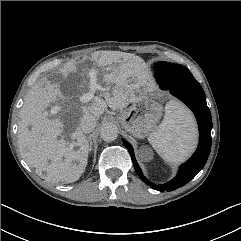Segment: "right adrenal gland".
Instances as JSON below:
<instances>
[{
    "instance_id": "right-adrenal-gland-1",
    "label": "right adrenal gland",
    "mask_w": 241,
    "mask_h": 241,
    "mask_svg": "<svg viewBox=\"0 0 241 241\" xmlns=\"http://www.w3.org/2000/svg\"><path fill=\"white\" fill-rule=\"evenodd\" d=\"M88 143H89V152L92 150V145H93V143H92V139H91V137L89 136L88 137Z\"/></svg>"
}]
</instances>
